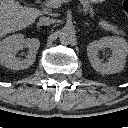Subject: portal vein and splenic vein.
<instances>
[{
	"mask_svg": "<svg viewBox=\"0 0 128 128\" xmlns=\"http://www.w3.org/2000/svg\"><path fill=\"white\" fill-rule=\"evenodd\" d=\"M72 2V0H45L43 2V5L50 8H58L61 6L62 3H69Z\"/></svg>",
	"mask_w": 128,
	"mask_h": 128,
	"instance_id": "1",
	"label": "portal vein and splenic vein"
}]
</instances>
